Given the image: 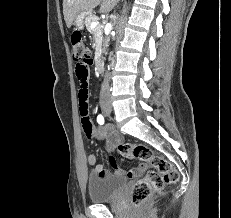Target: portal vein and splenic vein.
I'll return each mask as SVG.
<instances>
[{"label":"portal vein and splenic vein","instance_id":"18ae733b","mask_svg":"<svg viewBox=\"0 0 231 218\" xmlns=\"http://www.w3.org/2000/svg\"><path fill=\"white\" fill-rule=\"evenodd\" d=\"M99 25V22L98 21H94L91 23V28H95Z\"/></svg>","mask_w":231,"mask_h":218}]
</instances>
